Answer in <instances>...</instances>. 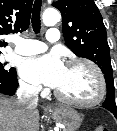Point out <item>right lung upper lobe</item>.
Returning <instances> with one entry per match:
<instances>
[{"instance_id": "1", "label": "right lung upper lobe", "mask_w": 117, "mask_h": 131, "mask_svg": "<svg viewBox=\"0 0 117 131\" xmlns=\"http://www.w3.org/2000/svg\"><path fill=\"white\" fill-rule=\"evenodd\" d=\"M32 3L33 0H0V49L7 46L5 35L29 27Z\"/></svg>"}]
</instances>
